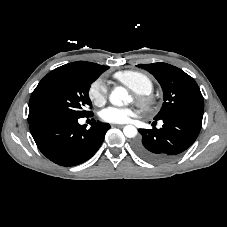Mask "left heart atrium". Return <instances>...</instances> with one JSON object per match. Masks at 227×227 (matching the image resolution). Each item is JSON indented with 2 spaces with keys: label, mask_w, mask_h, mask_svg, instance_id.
I'll use <instances>...</instances> for the list:
<instances>
[{
  "label": "left heart atrium",
  "mask_w": 227,
  "mask_h": 227,
  "mask_svg": "<svg viewBox=\"0 0 227 227\" xmlns=\"http://www.w3.org/2000/svg\"><path fill=\"white\" fill-rule=\"evenodd\" d=\"M136 115V110L130 107H108L101 112L103 121L113 124H123Z\"/></svg>",
  "instance_id": "left-heart-atrium-1"
}]
</instances>
